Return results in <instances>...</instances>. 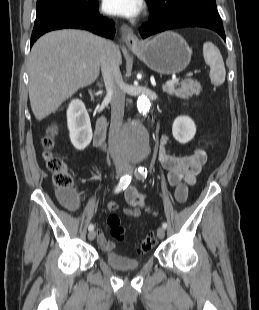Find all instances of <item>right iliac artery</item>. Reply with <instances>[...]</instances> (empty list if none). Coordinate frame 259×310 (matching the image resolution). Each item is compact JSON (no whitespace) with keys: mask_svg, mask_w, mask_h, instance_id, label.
Segmentation results:
<instances>
[{"mask_svg":"<svg viewBox=\"0 0 259 310\" xmlns=\"http://www.w3.org/2000/svg\"><path fill=\"white\" fill-rule=\"evenodd\" d=\"M131 182V176L129 175H124L123 177H121L116 189H115V192L118 193L122 190H124ZM89 231L93 230L94 229V226L92 224L89 225L88 227Z\"/></svg>","mask_w":259,"mask_h":310,"instance_id":"right-iliac-artery-1","label":"right iliac artery"}]
</instances>
